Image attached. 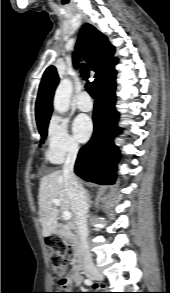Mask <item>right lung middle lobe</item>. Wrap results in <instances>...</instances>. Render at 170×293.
<instances>
[{
	"label": "right lung middle lobe",
	"instance_id": "1",
	"mask_svg": "<svg viewBox=\"0 0 170 293\" xmlns=\"http://www.w3.org/2000/svg\"><path fill=\"white\" fill-rule=\"evenodd\" d=\"M39 132H40L41 137H42L41 138V143H43L44 142V139L46 138V135H47V126L39 129Z\"/></svg>",
	"mask_w": 170,
	"mask_h": 293
}]
</instances>
